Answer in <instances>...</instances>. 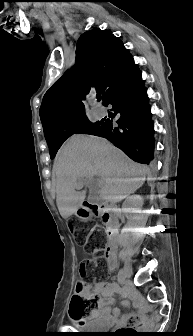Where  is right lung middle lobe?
<instances>
[{"instance_id": "right-lung-middle-lobe-1", "label": "right lung middle lobe", "mask_w": 193, "mask_h": 336, "mask_svg": "<svg viewBox=\"0 0 193 336\" xmlns=\"http://www.w3.org/2000/svg\"><path fill=\"white\" fill-rule=\"evenodd\" d=\"M103 121L104 120L92 123L85 116L82 119H80L79 121H77L66 132L52 137L50 140L47 141L51 159H53L55 157L58 149L60 148V146L63 144V142L68 137H70L71 135L76 134V133L92 134L93 132L97 131L102 126Z\"/></svg>"}]
</instances>
